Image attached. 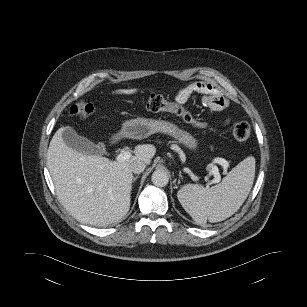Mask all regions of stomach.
I'll list each match as a JSON object with an SVG mask.
<instances>
[{
    "instance_id": "obj_1",
    "label": "stomach",
    "mask_w": 307,
    "mask_h": 307,
    "mask_svg": "<svg viewBox=\"0 0 307 307\" xmlns=\"http://www.w3.org/2000/svg\"><path fill=\"white\" fill-rule=\"evenodd\" d=\"M157 132L173 136L179 143L194 152L198 149V141L191 134L181 130L178 126L169 121L138 117L123 123L121 129V135L133 139L146 138Z\"/></svg>"
}]
</instances>
